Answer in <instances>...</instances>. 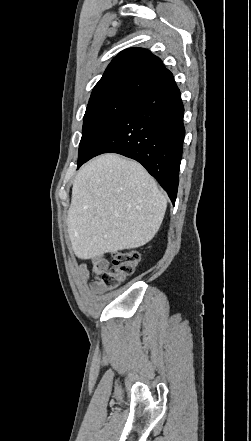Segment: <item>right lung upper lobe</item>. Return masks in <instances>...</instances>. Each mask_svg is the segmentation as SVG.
I'll use <instances>...</instances> for the list:
<instances>
[{"label":"right lung upper lobe","mask_w":251,"mask_h":441,"mask_svg":"<svg viewBox=\"0 0 251 441\" xmlns=\"http://www.w3.org/2000/svg\"><path fill=\"white\" fill-rule=\"evenodd\" d=\"M172 73L162 61L143 48L119 53L95 85L89 104L110 98L139 99Z\"/></svg>","instance_id":"obj_1"}]
</instances>
